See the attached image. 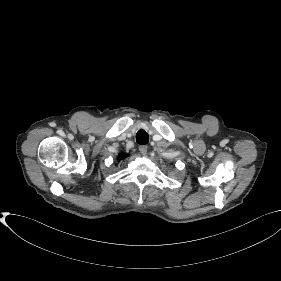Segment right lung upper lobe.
<instances>
[{
    "label": "right lung upper lobe",
    "instance_id": "1",
    "mask_svg": "<svg viewBox=\"0 0 281 281\" xmlns=\"http://www.w3.org/2000/svg\"><path fill=\"white\" fill-rule=\"evenodd\" d=\"M126 156H127V154H119V155H118V159L125 158Z\"/></svg>",
    "mask_w": 281,
    "mask_h": 281
}]
</instances>
